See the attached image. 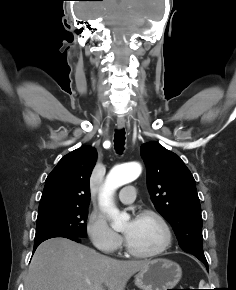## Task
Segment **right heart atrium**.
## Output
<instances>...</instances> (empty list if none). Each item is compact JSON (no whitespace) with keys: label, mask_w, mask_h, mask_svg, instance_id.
Listing matches in <instances>:
<instances>
[{"label":"right heart atrium","mask_w":236,"mask_h":290,"mask_svg":"<svg viewBox=\"0 0 236 290\" xmlns=\"http://www.w3.org/2000/svg\"><path fill=\"white\" fill-rule=\"evenodd\" d=\"M86 231L92 244L104 253H113L122 244L121 236L109 226L105 218L95 213L89 216Z\"/></svg>","instance_id":"right-heart-atrium-1"}]
</instances>
